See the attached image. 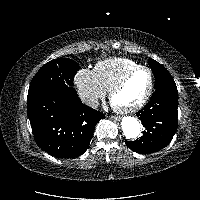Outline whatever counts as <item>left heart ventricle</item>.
<instances>
[{
	"mask_svg": "<svg viewBox=\"0 0 200 200\" xmlns=\"http://www.w3.org/2000/svg\"><path fill=\"white\" fill-rule=\"evenodd\" d=\"M149 83L150 75L147 71H139L135 73L114 95L113 103L120 107L137 103L146 94Z\"/></svg>",
	"mask_w": 200,
	"mask_h": 200,
	"instance_id": "obj_1",
	"label": "left heart ventricle"
}]
</instances>
